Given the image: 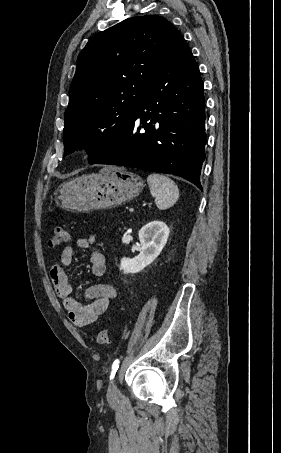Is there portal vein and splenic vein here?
Returning a JSON list of instances; mask_svg holds the SVG:
<instances>
[{"label": "portal vein and splenic vein", "mask_w": 281, "mask_h": 453, "mask_svg": "<svg viewBox=\"0 0 281 453\" xmlns=\"http://www.w3.org/2000/svg\"><path fill=\"white\" fill-rule=\"evenodd\" d=\"M134 210H135V209H134V207H132V206L128 208V211L131 212V213L134 212Z\"/></svg>", "instance_id": "portal-vein-and-splenic-vein-1"}]
</instances>
